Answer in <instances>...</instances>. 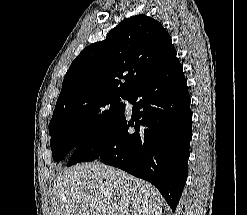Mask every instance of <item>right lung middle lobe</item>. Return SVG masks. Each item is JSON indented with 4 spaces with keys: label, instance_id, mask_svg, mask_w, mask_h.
Returning a JSON list of instances; mask_svg holds the SVG:
<instances>
[{
    "label": "right lung middle lobe",
    "instance_id": "1",
    "mask_svg": "<svg viewBox=\"0 0 247 215\" xmlns=\"http://www.w3.org/2000/svg\"><path fill=\"white\" fill-rule=\"evenodd\" d=\"M127 95H96L62 106L49 124L53 159L63 160L78 144L102 131L124 111Z\"/></svg>",
    "mask_w": 247,
    "mask_h": 215
}]
</instances>
